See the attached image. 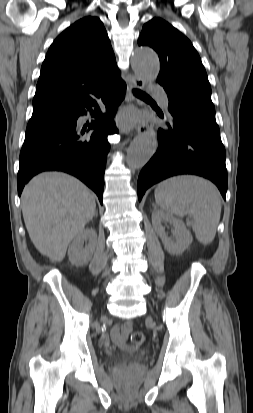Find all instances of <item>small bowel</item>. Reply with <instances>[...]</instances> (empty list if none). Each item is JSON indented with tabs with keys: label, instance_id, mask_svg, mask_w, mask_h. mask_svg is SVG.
Masks as SVG:
<instances>
[{
	"label": "small bowel",
	"instance_id": "c3829d8e",
	"mask_svg": "<svg viewBox=\"0 0 253 413\" xmlns=\"http://www.w3.org/2000/svg\"><path fill=\"white\" fill-rule=\"evenodd\" d=\"M131 330V322H126L122 325L116 324L111 330V338L113 342L119 347H124Z\"/></svg>",
	"mask_w": 253,
	"mask_h": 413
}]
</instances>
